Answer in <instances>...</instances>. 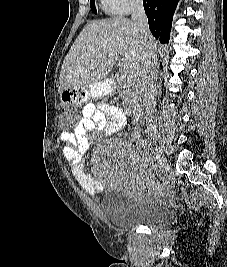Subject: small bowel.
I'll list each match as a JSON object with an SVG mask.
<instances>
[{"label":"small bowel","mask_w":227,"mask_h":267,"mask_svg":"<svg viewBox=\"0 0 227 267\" xmlns=\"http://www.w3.org/2000/svg\"><path fill=\"white\" fill-rule=\"evenodd\" d=\"M81 118L73 131H62L60 140L63 143V155L68 161L70 171L89 195L100 193L102 183L88 174L84 169V155L89 149L90 142L99 136L108 137L121 132L127 123L124 111L110 104L97 106L94 103H86L81 111ZM148 173H139L140 181L136 191L140 196L148 197L155 193L154 186L147 180Z\"/></svg>","instance_id":"1"}]
</instances>
